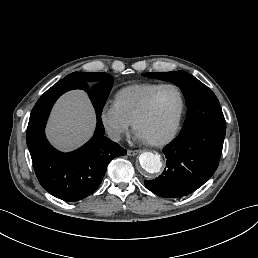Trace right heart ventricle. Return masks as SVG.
<instances>
[{"mask_svg":"<svg viewBox=\"0 0 258 258\" xmlns=\"http://www.w3.org/2000/svg\"><path fill=\"white\" fill-rule=\"evenodd\" d=\"M158 86V84L144 83L125 87L117 93L114 104L129 123H134L148 96Z\"/></svg>","mask_w":258,"mask_h":258,"instance_id":"e07e8e85","label":"right heart ventricle"}]
</instances>
